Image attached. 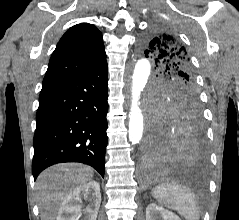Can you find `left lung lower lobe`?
<instances>
[{
    "mask_svg": "<svg viewBox=\"0 0 239 220\" xmlns=\"http://www.w3.org/2000/svg\"><path fill=\"white\" fill-rule=\"evenodd\" d=\"M205 159V135L200 112H164L156 108L143 149V170L151 175L172 163L197 164Z\"/></svg>",
    "mask_w": 239,
    "mask_h": 220,
    "instance_id": "obj_1",
    "label": "left lung lower lobe"
}]
</instances>
